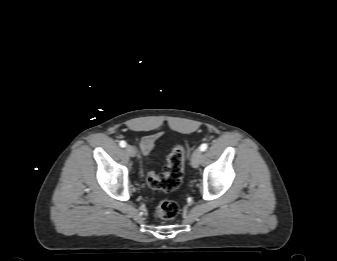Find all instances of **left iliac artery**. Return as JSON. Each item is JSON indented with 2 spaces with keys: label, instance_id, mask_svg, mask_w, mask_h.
I'll return each instance as SVG.
<instances>
[{
  "label": "left iliac artery",
  "instance_id": "1",
  "mask_svg": "<svg viewBox=\"0 0 337 261\" xmlns=\"http://www.w3.org/2000/svg\"><path fill=\"white\" fill-rule=\"evenodd\" d=\"M208 148V145L206 143L201 144L200 150L205 151Z\"/></svg>",
  "mask_w": 337,
  "mask_h": 261
}]
</instances>
